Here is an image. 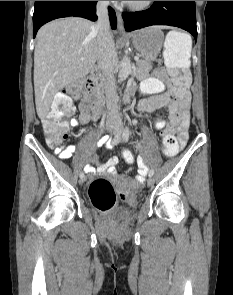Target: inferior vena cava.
<instances>
[{
	"instance_id": "602c4592",
	"label": "inferior vena cava",
	"mask_w": 233,
	"mask_h": 295,
	"mask_svg": "<svg viewBox=\"0 0 233 295\" xmlns=\"http://www.w3.org/2000/svg\"><path fill=\"white\" fill-rule=\"evenodd\" d=\"M108 2L109 1H98L97 3V63L102 72V85L105 93L108 116L111 118H119L114 78L117 53L115 50L113 36L110 32V23L107 10Z\"/></svg>"
}]
</instances>
